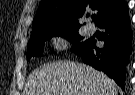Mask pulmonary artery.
<instances>
[{
  "mask_svg": "<svg viewBox=\"0 0 135 95\" xmlns=\"http://www.w3.org/2000/svg\"><path fill=\"white\" fill-rule=\"evenodd\" d=\"M88 34H94L95 33V26L92 24H89L87 27Z\"/></svg>",
  "mask_w": 135,
  "mask_h": 95,
  "instance_id": "e3ab8cb5",
  "label": "pulmonary artery"
}]
</instances>
